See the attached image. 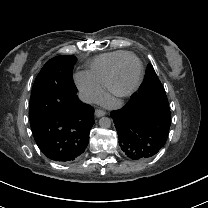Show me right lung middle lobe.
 <instances>
[{
	"mask_svg": "<svg viewBox=\"0 0 208 208\" xmlns=\"http://www.w3.org/2000/svg\"><path fill=\"white\" fill-rule=\"evenodd\" d=\"M73 56L62 55L50 59L41 69L33 85L29 106L30 121L64 108L74 100L77 88L72 79Z\"/></svg>",
	"mask_w": 208,
	"mask_h": 208,
	"instance_id": "right-lung-middle-lobe-1",
	"label": "right lung middle lobe"
}]
</instances>
